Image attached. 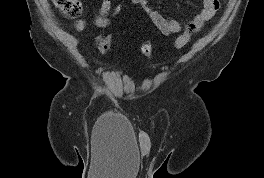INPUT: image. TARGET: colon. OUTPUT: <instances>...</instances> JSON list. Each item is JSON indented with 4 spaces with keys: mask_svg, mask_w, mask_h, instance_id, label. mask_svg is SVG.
<instances>
[{
    "mask_svg": "<svg viewBox=\"0 0 264 178\" xmlns=\"http://www.w3.org/2000/svg\"><path fill=\"white\" fill-rule=\"evenodd\" d=\"M53 5L59 9L68 18H77L82 13V4L80 0H51ZM191 37V34L184 32L176 40V47L181 48L187 44ZM97 44L102 54L108 53L111 47V36L109 34L101 36L97 39ZM141 52L146 57H152L154 55V48L150 42L145 41L141 44Z\"/></svg>",
    "mask_w": 264,
    "mask_h": 178,
    "instance_id": "1",
    "label": "colon"
}]
</instances>
